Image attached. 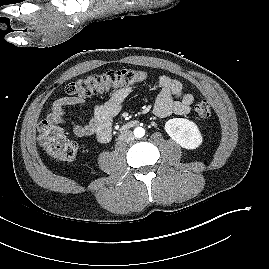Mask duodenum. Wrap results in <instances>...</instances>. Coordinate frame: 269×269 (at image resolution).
<instances>
[{"mask_svg": "<svg viewBox=\"0 0 269 269\" xmlns=\"http://www.w3.org/2000/svg\"><path fill=\"white\" fill-rule=\"evenodd\" d=\"M135 125H137V121H129L127 122L124 126H123V130L134 127Z\"/></svg>", "mask_w": 269, "mask_h": 269, "instance_id": "1", "label": "duodenum"}]
</instances>
